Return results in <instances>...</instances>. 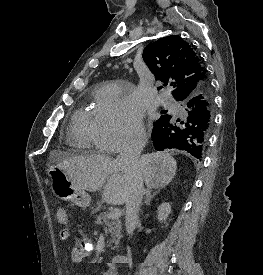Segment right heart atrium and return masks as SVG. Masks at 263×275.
I'll return each instance as SVG.
<instances>
[{"instance_id":"1","label":"right heart atrium","mask_w":263,"mask_h":275,"mask_svg":"<svg viewBox=\"0 0 263 275\" xmlns=\"http://www.w3.org/2000/svg\"><path fill=\"white\" fill-rule=\"evenodd\" d=\"M97 146L106 152H118L143 141L145 131L142 110L130 90L104 89L97 107Z\"/></svg>"}]
</instances>
